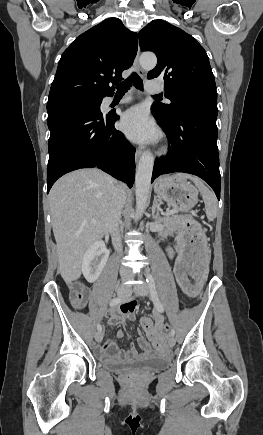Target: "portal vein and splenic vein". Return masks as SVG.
Segmentation results:
<instances>
[{
  "mask_svg": "<svg viewBox=\"0 0 263 435\" xmlns=\"http://www.w3.org/2000/svg\"><path fill=\"white\" fill-rule=\"evenodd\" d=\"M175 212V210H171V211H169L167 214H172V213H174Z\"/></svg>",
  "mask_w": 263,
  "mask_h": 435,
  "instance_id": "obj_1",
  "label": "portal vein and splenic vein"
}]
</instances>
